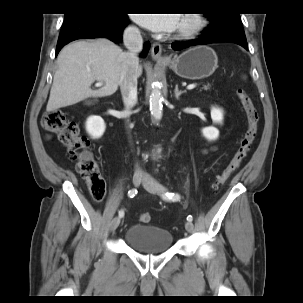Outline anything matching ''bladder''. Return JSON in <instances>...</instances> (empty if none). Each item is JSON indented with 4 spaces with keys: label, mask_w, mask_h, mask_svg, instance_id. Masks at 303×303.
Returning a JSON list of instances; mask_svg holds the SVG:
<instances>
[{
    "label": "bladder",
    "mask_w": 303,
    "mask_h": 303,
    "mask_svg": "<svg viewBox=\"0 0 303 303\" xmlns=\"http://www.w3.org/2000/svg\"><path fill=\"white\" fill-rule=\"evenodd\" d=\"M125 243L146 254H160L170 248L173 236L168 230L145 224H133L124 234Z\"/></svg>",
    "instance_id": "31cf9c89"
}]
</instances>
